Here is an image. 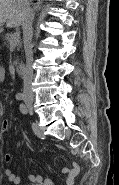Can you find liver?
<instances>
[{
    "mask_svg": "<svg viewBox=\"0 0 119 185\" xmlns=\"http://www.w3.org/2000/svg\"><path fill=\"white\" fill-rule=\"evenodd\" d=\"M25 10L23 0H0V26L4 23L9 28L20 26L25 17Z\"/></svg>",
    "mask_w": 119,
    "mask_h": 185,
    "instance_id": "obj_1",
    "label": "liver"
}]
</instances>
